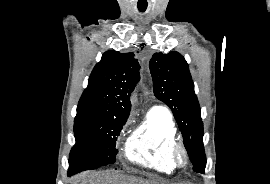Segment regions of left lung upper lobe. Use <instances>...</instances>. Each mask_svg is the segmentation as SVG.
I'll return each mask as SVG.
<instances>
[{"label": "left lung upper lobe", "mask_w": 270, "mask_h": 184, "mask_svg": "<svg viewBox=\"0 0 270 184\" xmlns=\"http://www.w3.org/2000/svg\"><path fill=\"white\" fill-rule=\"evenodd\" d=\"M149 67L154 94L171 108L193 170L204 173L203 123L187 62L178 52H160L152 56Z\"/></svg>", "instance_id": "left-lung-upper-lobe-1"}]
</instances>
